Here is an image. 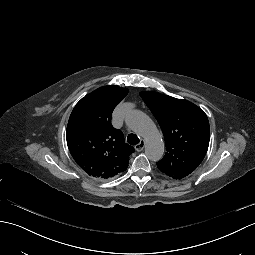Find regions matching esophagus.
Here are the masks:
<instances>
[{
  "label": "esophagus",
  "instance_id": "esophagus-1",
  "mask_svg": "<svg viewBox=\"0 0 255 255\" xmlns=\"http://www.w3.org/2000/svg\"><path fill=\"white\" fill-rule=\"evenodd\" d=\"M144 146H145V141L141 140L138 144L135 145V150L137 152H140L144 149Z\"/></svg>",
  "mask_w": 255,
  "mask_h": 255
}]
</instances>
